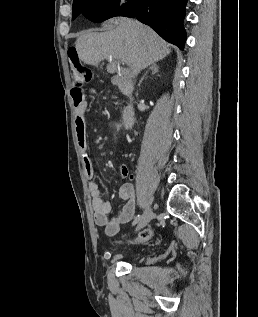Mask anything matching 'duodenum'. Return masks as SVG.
<instances>
[{
    "instance_id": "obj_1",
    "label": "duodenum",
    "mask_w": 258,
    "mask_h": 317,
    "mask_svg": "<svg viewBox=\"0 0 258 317\" xmlns=\"http://www.w3.org/2000/svg\"><path fill=\"white\" fill-rule=\"evenodd\" d=\"M71 98L74 106L80 108L85 103V92L80 86H75L71 90Z\"/></svg>"
}]
</instances>
